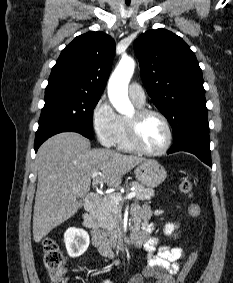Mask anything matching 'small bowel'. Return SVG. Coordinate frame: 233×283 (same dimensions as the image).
<instances>
[{
    "label": "small bowel",
    "mask_w": 233,
    "mask_h": 283,
    "mask_svg": "<svg viewBox=\"0 0 233 283\" xmlns=\"http://www.w3.org/2000/svg\"><path fill=\"white\" fill-rule=\"evenodd\" d=\"M133 215L136 226L145 235L143 246L149 252V258L142 273L135 275L130 283H144L145 279H151L152 283H175L174 276L181 269L183 249L161 245L158 237L150 236L154 225L150 223L153 211L148 205L135 206ZM91 244L97 247L104 257L112 259L116 265L119 264L111 248L103 244L101 234L93 232ZM101 283H113V281L106 279Z\"/></svg>",
    "instance_id": "1"
}]
</instances>
